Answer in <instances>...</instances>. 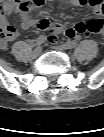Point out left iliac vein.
<instances>
[{
  "label": "left iliac vein",
  "mask_w": 104,
  "mask_h": 137,
  "mask_svg": "<svg viewBox=\"0 0 104 137\" xmlns=\"http://www.w3.org/2000/svg\"><path fill=\"white\" fill-rule=\"evenodd\" d=\"M53 49L64 52L68 49V45L66 44L57 45V46H54Z\"/></svg>",
  "instance_id": "left-iliac-vein-1"
}]
</instances>
